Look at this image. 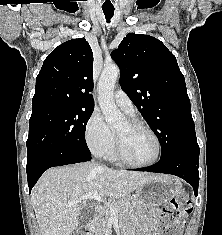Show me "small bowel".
<instances>
[{"instance_id": "obj_1", "label": "small bowel", "mask_w": 222, "mask_h": 235, "mask_svg": "<svg viewBox=\"0 0 222 235\" xmlns=\"http://www.w3.org/2000/svg\"><path fill=\"white\" fill-rule=\"evenodd\" d=\"M159 221V212L153 210L151 212L150 218L146 224L145 229L140 232L138 235H158L157 234V225Z\"/></svg>"}]
</instances>
